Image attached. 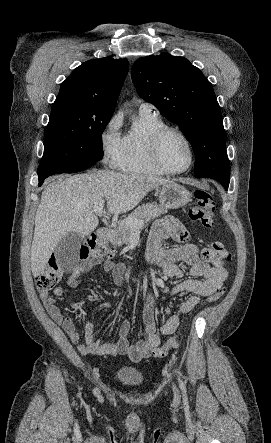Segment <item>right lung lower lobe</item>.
Returning <instances> with one entry per match:
<instances>
[{"instance_id": "1", "label": "right lung lower lobe", "mask_w": 271, "mask_h": 443, "mask_svg": "<svg viewBox=\"0 0 271 443\" xmlns=\"http://www.w3.org/2000/svg\"><path fill=\"white\" fill-rule=\"evenodd\" d=\"M91 166L92 165H87V164L75 165V166H59V167H55V168H52L49 170L38 172L39 186H41L43 184L44 179H46L47 177H49L51 175L59 174V173L79 172V171H83L85 169H88Z\"/></svg>"}]
</instances>
